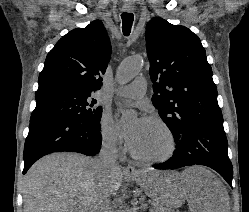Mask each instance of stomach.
<instances>
[{"label":"stomach","instance_id":"stomach-1","mask_svg":"<svg viewBox=\"0 0 249 212\" xmlns=\"http://www.w3.org/2000/svg\"><path fill=\"white\" fill-rule=\"evenodd\" d=\"M141 175L148 198H186V179H179L175 170H147ZM154 204H183V199H154ZM166 210H182V205H166Z\"/></svg>","mask_w":249,"mask_h":212}]
</instances>
